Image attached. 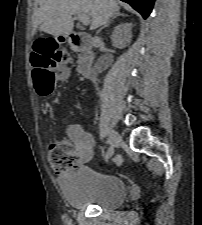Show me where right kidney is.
I'll use <instances>...</instances> for the list:
<instances>
[{
    "label": "right kidney",
    "instance_id": "ca27d5eb",
    "mask_svg": "<svg viewBox=\"0 0 202 225\" xmlns=\"http://www.w3.org/2000/svg\"><path fill=\"white\" fill-rule=\"evenodd\" d=\"M132 23H122L115 27L112 32L111 40L115 47L125 48L131 42Z\"/></svg>",
    "mask_w": 202,
    "mask_h": 225
}]
</instances>
